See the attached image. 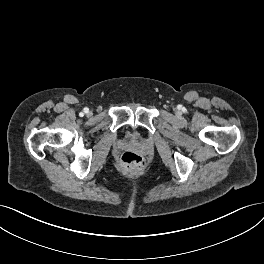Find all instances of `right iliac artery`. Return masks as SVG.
<instances>
[{
	"mask_svg": "<svg viewBox=\"0 0 264 264\" xmlns=\"http://www.w3.org/2000/svg\"><path fill=\"white\" fill-rule=\"evenodd\" d=\"M84 112L87 113L88 112V108H84Z\"/></svg>",
	"mask_w": 264,
	"mask_h": 264,
	"instance_id": "1",
	"label": "right iliac artery"
}]
</instances>
